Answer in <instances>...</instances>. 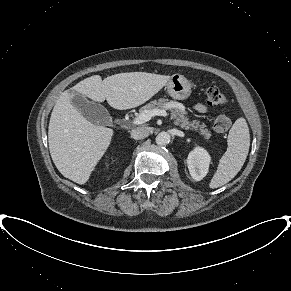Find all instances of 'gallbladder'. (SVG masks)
<instances>
[{"instance_id": "bac80fb5", "label": "gallbladder", "mask_w": 291, "mask_h": 291, "mask_svg": "<svg viewBox=\"0 0 291 291\" xmlns=\"http://www.w3.org/2000/svg\"><path fill=\"white\" fill-rule=\"evenodd\" d=\"M72 103L77 110L91 123L101 126H108L112 122V118L108 110L97 103L89 101L84 95L73 92Z\"/></svg>"}]
</instances>
